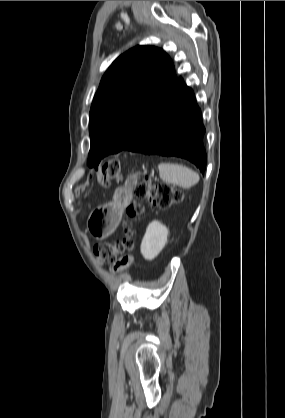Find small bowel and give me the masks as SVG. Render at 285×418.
Returning a JSON list of instances; mask_svg holds the SVG:
<instances>
[{
	"instance_id": "obj_1",
	"label": "small bowel",
	"mask_w": 285,
	"mask_h": 418,
	"mask_svg": "<svg viewBox=\"0 0 285 418\" xmlns=\"http://www.w3.org/2000/svg\"><path fill=\"white\" fill-rule=\"evenodd\" d=\"M118 264H119V262H117V263L114 265V268H115L116 266H118Z\"/></svg>"
}]
</instances>
